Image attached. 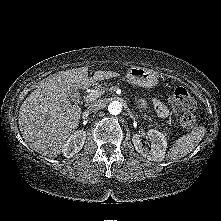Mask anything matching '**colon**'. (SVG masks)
Listing matches in <instances>:
<instances>
[{"mask_svg":"<svg viewBox=\"0 0 221 221\" xmlns=\"http://www.w3.org/2000/svg\"><path fill=\"white\" fill-rule=\"evenodd\" d=\"M174 106L183 112L180 119L184 129H191L196 125V118L193 114L196 103L185 88L179 87L174 91Z\"/></svg>","mask_w":221,"mask_h":221,"instance_id":"colon-1","label":"colon"}]
</instances>
